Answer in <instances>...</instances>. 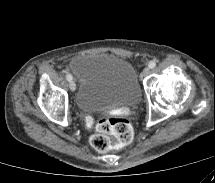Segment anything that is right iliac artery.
<instances>
[{
	"instance_id": "right-iliac-artery-1",
	"label": "right iliac artery",
	"mask_w": 215,
	"mask_h": 183,
	"mask_svg": "<svg viewBox=\"0 0 215 183\" xmlns=\"http://www.w3.org/2000/svg\"><path fill=\"white\" fill-rule=\"evenodd\" d=\"M66 78L69 82L72 81V79H73L72 75L69 73H67Z\"/></svg>"
}]
</instances>
